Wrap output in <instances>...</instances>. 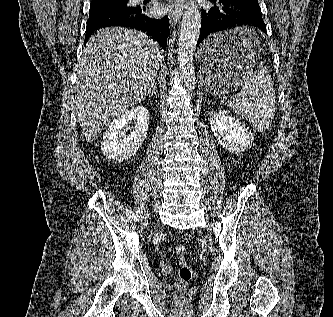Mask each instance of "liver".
<instances>
[{
    "label": "liver",
    "mask_w": 333,
    "mask_h": 317,
    "mask_svg": "<svg viewBox=\"0 0 333 317\" xmlns=\"http://www.w3.org/2000/svg\"><path fill=\"white\" fill-rule=\"evenodd\" d=\"M162 60L158 44L136 30L104 28L90 37L77 71L74 99L88 142L148 96Z\"/></svg>",
    "instance_id": "liver-1"
}]
</instances>
